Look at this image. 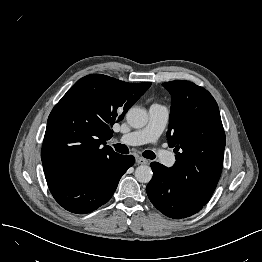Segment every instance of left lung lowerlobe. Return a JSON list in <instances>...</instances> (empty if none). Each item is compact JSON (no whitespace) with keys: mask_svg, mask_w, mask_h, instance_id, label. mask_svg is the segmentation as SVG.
<instances>
[{"mask_svg":"<svg viewBox=\"0 0 262 262\" xmlns=\"http://www.w3.org/2000/svg\"><path fill=\"white\" fill-rule=\"evenodd\" d=\"M151 168L153 178L146 191L152 204L161 213L173 219H182L202 209L204 205L172 179L170 169L158 162H152Z\"/></svg>","mask_w":262,"mask_h":262,"instance_id":"obj_1","label":"left lung lower lobe"}]
</instances>
